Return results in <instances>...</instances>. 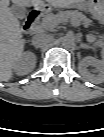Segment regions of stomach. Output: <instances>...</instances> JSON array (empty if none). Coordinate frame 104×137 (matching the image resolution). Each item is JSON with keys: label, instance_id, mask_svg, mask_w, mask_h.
I'll use <instances>...</instances> for the list:
<instances>
[{"label": "stomach", "instance_id": "1", "mask_svg": "<svg viewBox=\"0 0 104 137\" xmlns=\"http://www.w3.org/2000/svg\"><path fill=\"white\" fill-rule=\"evenodd\" d=\"M81 6L87 8L94 16H97L103 10V0H87Z\"/></svg>", "mask_w": 104, "mask_h": 137}]
</instances>
